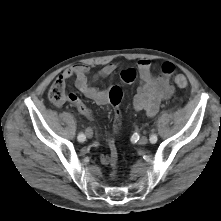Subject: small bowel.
<instances>
[{"label":"small bowel","instance_id":"obj_1","mask_svg":"<svg viewBox=\"0 0 221 221\" xmlns=\"http://www.w3.org/2000/svg\"><path fill=\"white\" fill-rule=\"evenodd\" d=\"M117 66L114 63L106 64L95 76L94 80L106 78L115 72ZM90 69L84 64H76L62 72L57 79L66 82L75 78L76 88L88 99L98 105L111 104L109 91L110 89H99L94 86L89 79ZM121 78L125 83H132L137 78L139 85L133 96L132 105L137 111H144L149 116H154L162 101L170 98L174 93V87L170 80L165 76H157L153 73V64L150 60L142 59L137 62L134 68L125 69ZM73 105L78 111L93 120L92 112L82 102ZM101 164H110V155L102 154L99 157Z\"/></svg>","mask_w":221,"mask_h":221}]
</instances>
